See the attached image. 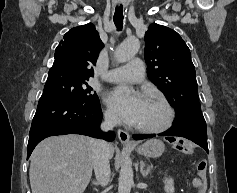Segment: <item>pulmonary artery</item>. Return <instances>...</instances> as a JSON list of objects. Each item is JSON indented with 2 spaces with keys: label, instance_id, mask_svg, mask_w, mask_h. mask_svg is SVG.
Listing matches in <instances>:
<instances>
[{
  "label": "pulmonary artery",
  "instance_id": "e3ab8cb5",
  "mask_svg": "<svg viewBox=\"0 0 237 193\" xmlns=\"http://www.w3.org/2000/svg\"><path fill=\"white\" fill-rule=\"evenodd\" d=\"M144 78V67L142 60L136 58L129 64L109 71L104 79L115 83L132 82L139 83Z\"/></svg>",
  "mask_w": 237,
  "mask_h": 193
}]
</instances>
